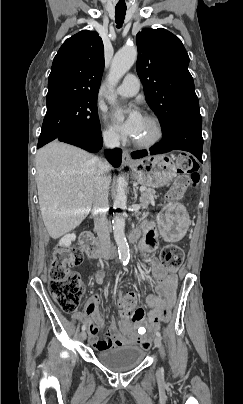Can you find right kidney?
Segmentation results:
<instances>
[{
    "label": "right kidney",
    "mask_w": 243,
    "mask_h": 404,
    "mask_svg": "<svg viewBox=\"0 0 243 404\" xmlns=\"http://www.w3.org/2000/svg\"><path fill=\"white\" fill-rule=\"evenodd\" d=\"M75 240V234H66V236H63V238H61L59 246H66V248H69V246H71L72 242H75Z\"/></svg>",
    "instance_id": "ca27d5eb"
}]
</instances>
